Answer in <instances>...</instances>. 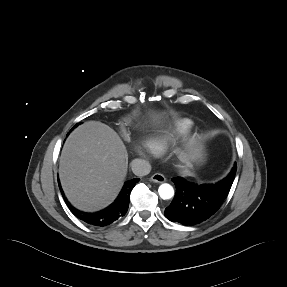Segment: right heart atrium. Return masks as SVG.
<instances>
[{
	"mask_svg": "<svg viewBox=\"0 0 287 287\" xmlns=\"http://www.w3.org/2000/svg\"><path fill=\"white\" fill-rule=\"evenodd\" d=\"M134 149L136 152H138L139 154H142L144 152L145 146L141 141H137L134 143Z\"/></svg>",
	"mask_w": 287,
	"mask_h": 287,
	"instance_id": "right-heart-atrium-1",
	"label": "right heart atrium"
}]
</instances>
